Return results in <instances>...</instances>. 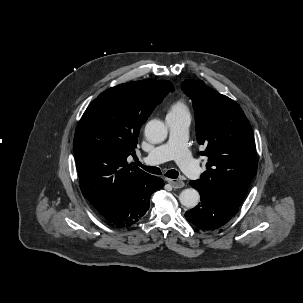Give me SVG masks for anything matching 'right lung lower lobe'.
<instances>
[{
  "label": "right lung lower lobe",
  "instance_id": "98d812e1",
  "mask_svg": "<svg viewBox=\"0 0 303 303\" xmlns=\"http://www.w3.org/2000/svg\"><path fill=\"white\" fill-rule=\"evenodd\" d=\"M163 186L164 182L161 178L145 176L127 190L113 195L105 207L98 212L114 227L132 226L145 215L152 193Z\"/></svg>",
  "mask_w": 303,
  "mask_h": 303
}]
</instances>
